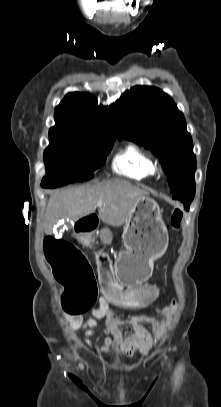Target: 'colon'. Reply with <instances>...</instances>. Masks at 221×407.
I'll list each match as a JSON object with an SVG mask.
<instances>
[{
    "label": "colon",
    "instance_id": "1",
    "mask_svg": "<svg viewBox=\"0 0 221 407\" xmlns=\"http://www.w3.org/2000/svg\"><path fill=\"white\" fill-rule=\"evenodd\" d=\"M78 216L72 226L75 239H96L99 222L95 214ZM184 211L174 208L170 223L175 230L181 228ZM44 253L56 279L63 285L62 302L67 313L78 316L90 310L97 298L98 284L93 269L85 256L71 243L48 237ZM100 283L109 306L117 311H147L155 300L162 298L160 283H130L120 291L110 265L103 261L100 267Z\"/></svg>",
    "mask_w": 221,
    "mask_h": 407
}]
</instances>
